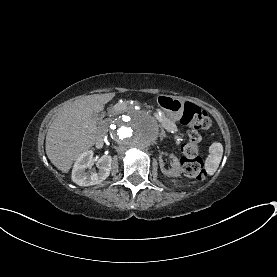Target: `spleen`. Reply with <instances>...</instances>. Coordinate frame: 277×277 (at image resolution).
<instances>
[{
    "label": "spleen",
    "instance_id": "obj_1",
    "mask_svg": "<svg viewBox=\"0 0 277 277\" xmlns=\"http://www.w3.org/2000/svg\"><path fill=\"white\" fill-rule=\"evenodd\" d=\"M223 146L216 141L209 147V153L205 160L204 169L208 176L214 175L217 171L223 156Z\"/></svg>",
    "mask_w": 277,
    "mask_h": 277
}]
</instances>
